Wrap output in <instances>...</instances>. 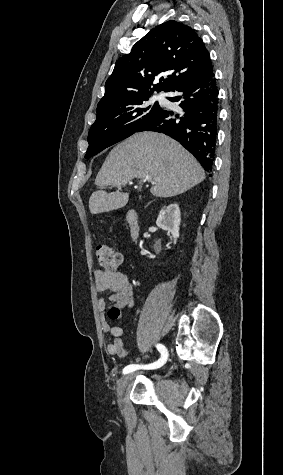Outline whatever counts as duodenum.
I'll list each match as a JSON object with an SVG mask.
<instances>
[{
	"label": "duodenum",
	"mask_w": 283,
	"mask_h": 475,
	"mask_svg": "<svg viewBox=\"0 0 283 475\" xmlns=\"http://www.w3.org/2000/svg\"><path fill=\"white\" fill-rule=\"evenodd\" d=\"M126 221L129 226L130 237L132 241H136L139 237L140 225L138 215L134 210H129L126 213Z\"/></svg>",
	"instance_id": "duodenum-1"
}]
</instances>
